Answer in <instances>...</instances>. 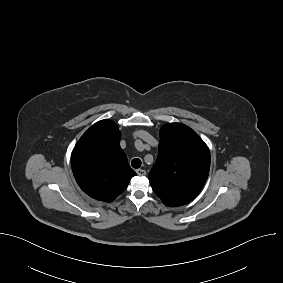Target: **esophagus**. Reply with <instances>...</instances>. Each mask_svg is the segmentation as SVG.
<instances>
[{
    "label": "esophagus",
    "instance_id": "1",
    "mask_svg": "<svg viewBox=\"0 0 283 283\" xmlns=\"http://www.w3.org/2000/svg\"><path fill=\"white\" fill-rule=\"evenodd\" d=\"M137 175L144 176L146 175V171L144 169H137L136 170Z\"/></svg>",
    "mask_w": 283,
    "mask_h": 283
}]
</instances>
